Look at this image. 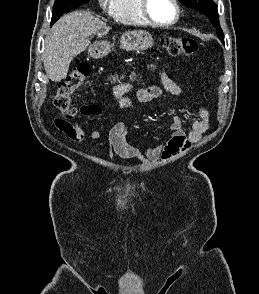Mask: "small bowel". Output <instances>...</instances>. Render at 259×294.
I'll return each instance as SVG.
<instances>
[{"label": "small bowel", "instance_id": "1", "mask_svg": "<svg viewBox=\"0 0 259 294\" xmlns=\"http://www.w3.org/2000/svg\"><path fill=\"white\" fill-rule=\"evenodd\" d=\"M161 83L164 88L173 95L182 93L181 87L174 81L170 80L164 73H159ZM130 88L129 85L117 87L113 91V98L116 103L115 111L117 113L125 110L130 101L124 96V93ZM162 90L157 86H150L138 90L136 99L139 103H147L154 100H160ZM80 114L83 116L99 117L102 114V109L97 104H88L80 108ZM199 120L194 121L189 130H185L182 121L179 117L172 119L170 130L172 136L169 141L155 147H139L127 143L125 139L126 125L123 122L115 123L109 130L106 143L108 147V155L112 158L117 155L123 159H144L155 160L156 158L169 159L176 154L186 150L191 143L202 139L204 134L210 128V115L207 109L200 108L198 110ZM54 125L62 131L72 141L80 142L84 139L85 133L81 129L79 123H71L64 118L54 120ZM101 130H94L90 137L93 140L99 139Z\"/></svg>", "mask_w": 259, "mask_h": 294}]
</instances>
